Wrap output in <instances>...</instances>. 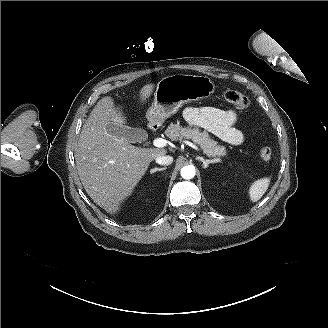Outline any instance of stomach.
<instances>
[{"mask_svg": "<svg viewBox=\"0 0 328 328\" xmlns=\"http://www.w3.org/2000/svg\"><path fill=\"white\" fill-rule=\"evenodd\" d=\"M214 91L215 85L207 76L175 74L162 78L146 112L148 127L157 130L183 104L208 98Z\"/></svg>", "mask_w": 328, "mask_h": 328, "instance_id": "0dacf381", "label": "stomach"}]
</instances>
